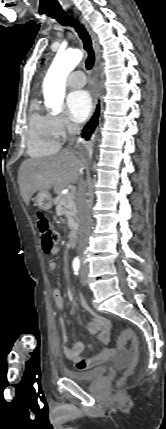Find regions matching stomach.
<instances>
[{
  "label": "stomach",
  "mask_w": 166,
  "mask_h": 429,
  "mask_svg": "<svg viewBox=\"0 0 166 429\" xmlns=\"http://www.w3.org/2000/svg\"><path fill=\"white\" fill-rule=\"evenodd\" d=\"M35 203L39 209L48 211L52 208L53 199L48 191L39 192L35 197Z\"/></svg>",
  "instance_id": "stomach-1"
}]
</instances>
